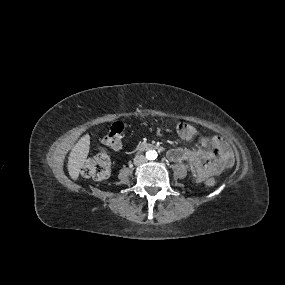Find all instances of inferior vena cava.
Listing matches in <instances>:
<instances>
[{"label": "inferior vena cava", "instance_id": "inferior-vena-cava-1", "mask_svg": "<svg viewBox=\"0 0 285 285\" xmlns=\"http://www.w3.org/2000/svg\"><path fill=\"white\" fill-rule=\"evenodd\" d=\"M146 161H147V159L144 155H137L134 158V164L137 166L144 164Z\"/></svg>", "mask_w": 285, "mask_h": 285}]
</instances>
